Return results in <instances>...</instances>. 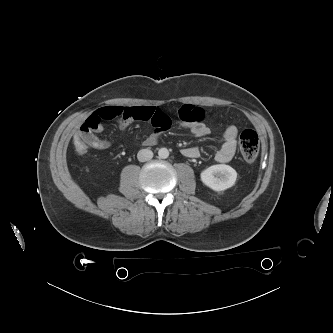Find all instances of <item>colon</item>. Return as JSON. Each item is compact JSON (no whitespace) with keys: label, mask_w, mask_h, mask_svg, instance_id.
I'll list each match as a JSON object with an SVG mask.
<instances>
[{"label":"colon","mask_w":333,"mask_h":333,"mask_svg":"<svg viewBox=\"0 0 333 333\" xmlns=\"http://www.w3.org/2000/svg\"><path fill=\"white\" fill-rule=\"evenodd\" d=\"M75 150L79 154L86 152L88 144L80 137H75L73 140ZM239 147L243 158L247 162H253L256 160L259 154V137L257 133L252 129H245L241 132L239 137Z\"/></svg>","instance_id":"obj_1"}]
</instances>
